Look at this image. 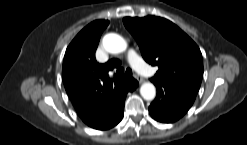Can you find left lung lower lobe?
Segmentation results:
<instances>
[{
	"label": "left lung lower lobe",
	"mask_w": 247,
	"mask_h": 145,
	"mask_svg": "<svg viewBox=\"0 0 247 145\" xmlns=\"http://www.w3.org/2000/svg\"><path fill=\"white\" fill-rule=\"evenodd\" d=\"M157 88V96L149 106L155 120L172 123L180 119L192 106L196 95L160 79H151Z\"/></svg>",
	"instance_id": "obj_1"
}]
</instances>
